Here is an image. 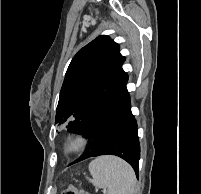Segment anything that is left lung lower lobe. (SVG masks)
I'll return each mask as SVG.
<instances>
[{
    "label": "left lung lower lobe",
    "instance_id": "left-lung-lower-lobe-1",
    "mask_svg": "<svg viewBox=\"0 0 201 194\" xmlns=\"http://www.w3.org/2000/svg\"><path fill=\"white\" fill-rule=\"evenodd\" d=\"M127 81L128 78L79 132L89 138L91 147L74 163L100 155H116L133 167L138 178L140 145Z\"/></svg>",
    "mask_w": 201,
    "mask_h": 194
}]
</instances>
